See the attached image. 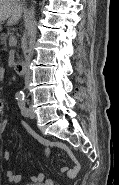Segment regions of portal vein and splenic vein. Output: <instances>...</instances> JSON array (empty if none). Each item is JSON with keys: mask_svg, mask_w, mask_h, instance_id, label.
Returning <instances> with one entry per match:
<instances>
[{"mask_svg": "<svg viewBox=\"0 0 119 185\" xmlns=\"http://www.w3.org/2000/svg\"><path fill=\"white\" fill-rule=\"evenodd\" d=\"M17 44V40L14 36L9 38V45L10 46H15Z\"/></svg>", "mask_w": 119, "mask_h": 185, "instance_id": "obj_1", "label": "portal vein and splenic vein"}]
</instances>
